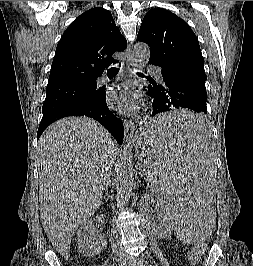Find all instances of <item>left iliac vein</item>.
<instances>
[{
    "instance_id": "obj_1",
    "label": "left iliac vein",
    "mask_w": 253,
    "mask_h": 266,
    "mask_svg": "<svg viewBox=\"0 0 253 266\" xmlns=\"http://www.w3.org/2000/svg\"><path fill=\"white\" fill-rule=\"evenodd\" d=\"M128 266H146L142 259L136 260L134 257H126Z\"/></svg>"
}]
</instances>
